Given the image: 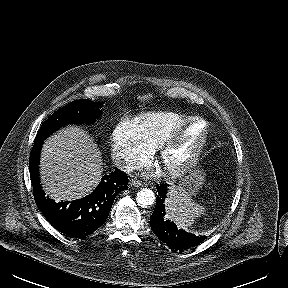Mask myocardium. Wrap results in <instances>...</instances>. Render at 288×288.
Wrapping results in <instances>:
<instances>
[{
	"mask_svg": "<svg viewBox=\"0 0 288 288\" xmlns=\"http://www.w3.org/2000/svg\"><path fill=\"white\" fill-rule=\"evenodd\" d=\"M194 123H200L203 125V131L200 139L195 144L191 153L180 163L173 166H166V171L171 177H181L189 173L197 164L198 159L203 152L205 146L207 145L210 125L209 123L200 117H190L185 122L174 128L170 133L165 135L158 146V158L164 162L167 154L180 139V137L185 133L188 127Z\"/></svg>",
	"mask_w": 288,
	"mask_h": 288,
	"instance_id": "1",
	"label": "myocardium"
}]
</instances>
